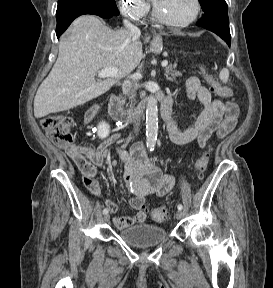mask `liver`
Returning a JSON list of instances; mask_svg holds the SVG:
<instances>
[{"label":"liver","instance_id":"6515ba94","mask_svg":"<svg viewBox=\"0 0 273 288\" xmlns=\"http://www.w3.org/2000/svg\"><path fill=\"white\" fill-rule=\"evenodd\" d=\"M142 43L129 30L113 31L97 17L83 15L59 42L58 58L34 98V116L45 117L99 97L143 58ZM116 68L118 77L96 82L99 70Z\"/></svg>","mask_w":273,"mask_h":288}]
</instances>
